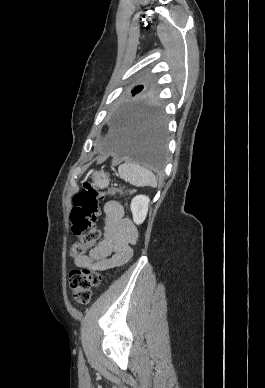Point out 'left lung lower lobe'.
<instances>
[{
  "instance_id": "left-lung-lower-lobe-1",
  "label": "left lung lower lobe",
  "mask_w": 265,
  "mask_h": 388,
  "mask_svg": "<svg viewBox=\"0 0 265 388\" xmlns=\"http://www.w3.org/2000/svg\"><path fill=\"white\" fill-rule=\"evenodd\" d=\"M167 130L156 108H121L104 142L108 152L161 170L166 158Z\"/></svg>"
}]
</instances>
